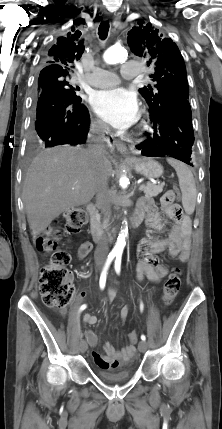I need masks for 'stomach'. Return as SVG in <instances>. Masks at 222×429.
Listing matches in <instances>:
<instances>
[{"label": "stomach", "mask_w": 222, "mask_h": 429, "mask_svg": "<svg viewBox=\"0 0 222 429\" xmlns=\"http://www.w3.org/2000/svg\"><path fill=\"white\" fill-rule=\"evenodd\" d=\"M130 164L136 172L146 178H159L163 174V167L153 159H138Z\"/></svg>", "instance_id": "stomach-1"}]
</instances>
